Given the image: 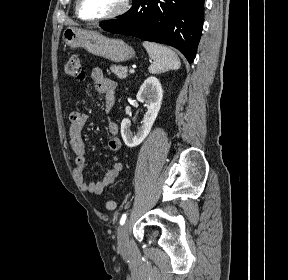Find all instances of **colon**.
Here are the masks:
<instances>
[{"label":"colon","instance_id":"colon-1","mask_svg":"<svg viewBox=\"0 0 288 280\" xmlns=\"http://www.w3.org/2000/svg\"><path fill=\"white\" fill-rule=\"evenodd\" d=\"M65 75L76 79L83 80L84 79V71L82 69L80 59L77 55L71 56L64 68ZM105 208L107 211H113L116 208V202L114 200H107L105 203Z\"/></svg>","mask_w":288,"mask_h":280}]
</instances>
